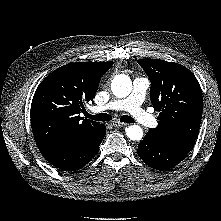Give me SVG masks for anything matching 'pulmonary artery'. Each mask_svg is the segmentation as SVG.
I'll return each instance as SVG.
<instances>
[{"instance_id":"obj_1","label":"pulmonary artery","mask_w":221,"mask_h":221,"mask_svg":"<svg viewBox=\"0 0 221 221\" xmlns=\"http://www.w3.org/2000/svg\"><path fill=\"white\" fill-rule=\"evenodd\" d=\"M148 88L149 80L144 77H137L133 82L132 92L127 98L113 100L105 105L94 107L93 111L125 110L143 126L150 128L156 127L157 120L142 108V103Z\"/></svg>"}]
</instances>
